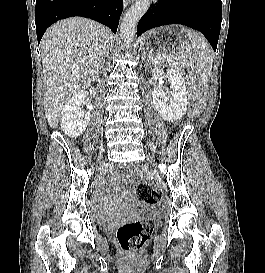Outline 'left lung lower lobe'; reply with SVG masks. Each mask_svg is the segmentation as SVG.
Segmentation results:
<instances>
[{"instance_id": "0a47b994", "label": "left lung lower lobe", "mask_w": 265, "mask_h": 273, "mask_svg": "<svg viewBox=\"0 0 265 273\" xmlns=\"http://www.w3.org/2000/svg\"><path fill=\"white\" fill-rule=\"evenodd\" d=\"M222 21L221 0H162L152 4L137 26V36L167 24L200 31L216 51Z\"/></svg>"}]
</instances>
